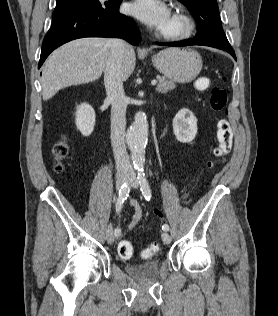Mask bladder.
Segmentation results:
<instances>
[{
    "instance_id": "obj_1",
    "label": "bladder",
    "mask_w": 278,
    "mask_h": 316,
    "mask_svg": "<svg viewBox=\"0 0 278 316\" xmlns=\"http://www.w3.org/2000/svg\"><path fill=\"white\" fill-rule=\"evenodd\" d=\"M160 262L156 259L148 260L140 264H126L127 273L138 279H146L157 274Z\"/></svg>"
}]
</instances>
